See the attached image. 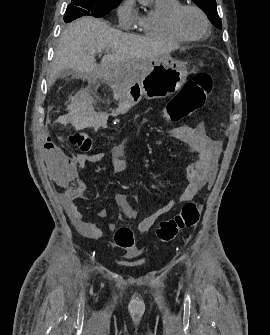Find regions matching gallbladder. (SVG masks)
Wrapping results in <instances>:
<instances>
[{
  "label": "gallbladder",
  "instance_id": "gallbladder-1",
  "mask_svg": "<svg viewBox=\"0 0 270 335\" xmlns=\"http://www.w3.org/2000/svg\"><path fill=\"white\" fill-rule=\"evenodd\" d=\"M64 76H73V78H83L82 72H75V70H65Z\"/></svg>",
  "mask_w": 270,
  "mask_h": 335
}]
</instances>
